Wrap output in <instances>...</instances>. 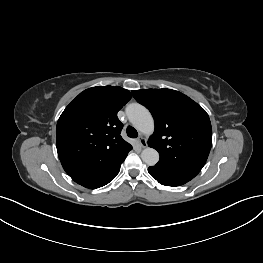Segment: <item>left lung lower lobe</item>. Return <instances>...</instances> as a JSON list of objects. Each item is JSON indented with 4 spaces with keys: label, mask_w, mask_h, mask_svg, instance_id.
I'll return each mask as SVG.
<instances>
[{
    "label": "left lung lower lobe",
    "mask_w": 263,
    "mask_h": 263,
    "mask_svg": "<svg viewBox=\"0 0 263 263\" xmlns=\"http://www.w3.org/2000/svg\"><path fill=\"white\" fill-rule=\"evenodd\" d=\"M148 172L155 180L165 186H180L193 178L191 176L169 172L157 166L149 167Z\"/></svg>",
    "instance_id": "left-lung-lower-lobe-1"
}]
</instances>
